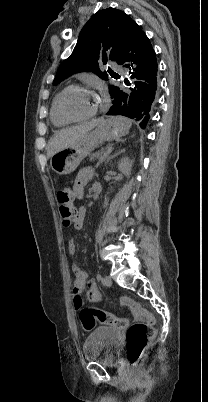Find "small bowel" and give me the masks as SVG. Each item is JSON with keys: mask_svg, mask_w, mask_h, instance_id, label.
<instances>
[{"mask_svg": "<svg viewBox=\"0 0 208 402\" xmlns=\"http://www.w3.org/2000/svg\"><path fill=\"white\" fill-rule=\"evenodd\" d=\"M92 175V170L85 168L78 172L75 181L73 190L75 192V196L78 199H81L84 196V189L90 180ZM77 214L79 216V222L75 223V227L77 229H82L83 227V216L84 209L80 208L77 210ZM67 249L71 254L75 253L76 247L73 239H70L67 244ZM73 272V303L75 307L79 308L84 304V298L81 296L82 292L85 288H87V299L93 303H98L103 300V294L100 291L98 284L95 280L87 281L86 274L76 265L72 267Z\"/></svg>", "mask_w": 208, "mask_h": 402, "instance_id": "small-bowel-1", "label": "small bowel"}]
</instances>
